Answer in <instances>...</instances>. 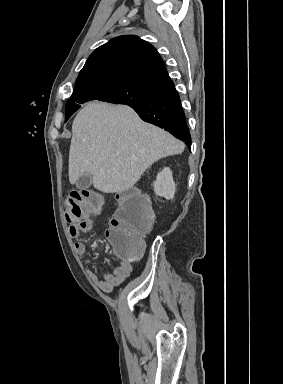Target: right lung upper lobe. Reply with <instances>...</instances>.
I'll return each mask as SVG.
<instances>
[{"instance_id":"1","label":"right lung upper lobe","mask_w":283,"mask_h":384,"mask_svg":"<svg viewBox=\"0 0 283 384\" xmlns=\"http://www.w3.org/2000/svg\"><path fill=\"white\" fill-rule=\"evenodd\" d=\"M169 80L157 50L137 36L125 35L111 39L89 56L74 89L123 83L153 92Z\"/></svg>"}]
</instances>
